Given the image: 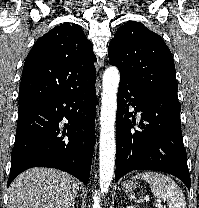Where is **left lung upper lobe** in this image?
<instances>
[{
	"mask_svg": "<svg viewBox=\"0 0 199 208\" xmlns=\"http://www.w3.org/2000/svg\"><path fill=\"white\" fill-rule=\"evenodd\" d=\"M108 57L121 78L151 94L178 101L172 54L163 39L143 24L128 21L120 26L110 41Z\"/></svg>",
	"mask_w": 199,
	"mask_h": 208,
	"instance_id": "left-lung-upper-lobe-1",
	"label": "left lung upper lobe"
}]
</instances>
